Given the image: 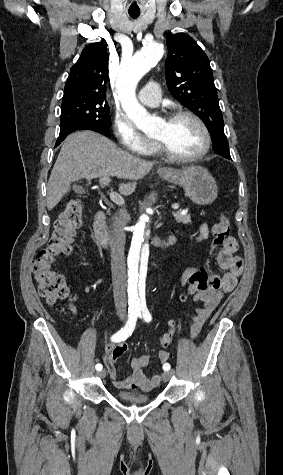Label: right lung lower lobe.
<instances>
[{
  "mask_svg": "<svg viewBox=\"0 0 283 475\" xmlns=\"http://www.w3.org/2000/svg\"><path fill=\"white\" fill-rule=\"evenodd\" d=\"M77 130H90L83 125H69L65 127H61L60 134L57 139L55 147H57L70 133L77 131Z\"/></svg>",
  "mask_w": 283,
  "mask_h": 475,
  "instance_id": "1",
  "label": "right lung lower lobe"
}]
</instances>
